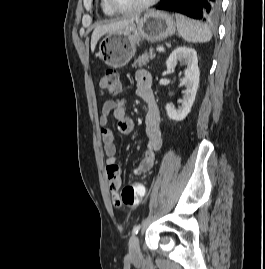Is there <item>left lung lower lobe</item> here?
Listing matches in <instances>:
<instances>
[{
	"mask_svg": "<svg viewBox=\"0 0 265 269\" xmlns=\"http://www.w3.org/2000/svg\"><path fill=\"white\" fill-rule=\"evenodd\" d=\"M221 0H165L159 10L174 11L191 18L214 21L220 13Z\"/></svg>",
	"mask_w": 265,
	"mask_h": 269,
	"instance_id": "0a47b994",
	"label": "left lung lower lobe"
}]
</instances>
